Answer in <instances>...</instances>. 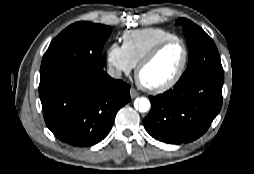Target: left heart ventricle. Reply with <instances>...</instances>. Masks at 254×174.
I'll use <instances>...</instances> for the list:
<instances>
[{"mask_svg":"<svg viewBox=\"0 0 254 174\" xmlns=\"http://www.w3.org/2000/svg\"><path fill=\"white\" fill-rule=\"evenodd\" d=\"M183 46L174 42L166 46L159 55L140 72V80L147 85H160L170 80L181 66Z\"/></svg>","mask_w":254,"mask_h":174,"instance_id":"1","label":"left heart ventricle"}]
</instances>
